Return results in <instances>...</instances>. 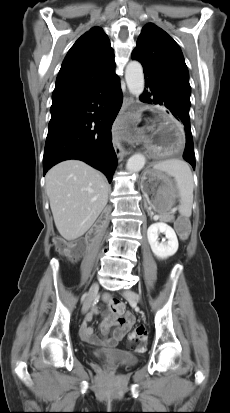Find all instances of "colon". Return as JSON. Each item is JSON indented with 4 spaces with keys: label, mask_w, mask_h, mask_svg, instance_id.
I'll return each instance as SVG.
<instances>
[{
    "label": "colon",
    "mask_w": 230,
    "mask_h": 413,
    "mask_svg": "<svg viewBox=\"0 0 230 413\" xmlns=\"http://www.w3.org/2000/svg\"><path fill=\"white\" fill-rule=\"evenodd\" d=\"M175 227L179 235L178 242L184 243L185 238L189 234V223L187 219L185 217L178 218ZM55 248L60 254L65 255L70 259L77 258L82 252L81 247L73 245L72 243L66 242L64 240H57L55 242ZM108 304L112 311H114L115 313H122L124 311L123 305L118 299L113 298L110 301H108ZM145 336V327L142 325H137L130 334V340L134 344H138L145 338Z\"/></svg>",
    "instance_id": "5ec220e1"
}]
</instances>
